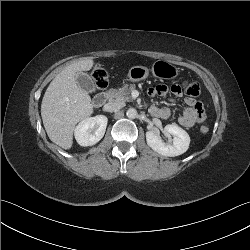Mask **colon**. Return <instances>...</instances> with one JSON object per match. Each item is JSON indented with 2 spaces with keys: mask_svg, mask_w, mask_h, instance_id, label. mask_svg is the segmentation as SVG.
<instances>
[{
  "mask_svg": "<svg viewBox=\"0 0 250 250\" xmlns=\"http://www.w3.org/2000/svg\"><path fill=\"white\" fill-rule=\"evenodd\" d=\"M92 78L98 89H103L108 83V74L101 65H96L92 71ZM183 90L190 98H197L200 95V86L196 82L185 81L183 83ZM202 133H208L209 128L206 125L201 126Z\"/></svg>",
  "mask_w": 250,
  "mask_h": 250,
  "instance_id": "5ec220e1",
  "label": "colon"
}]
</instances>
